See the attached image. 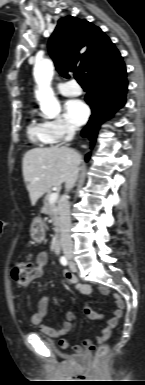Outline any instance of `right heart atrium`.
<instances>
[{"label": "right heart atrium", "mask_w": 145, "mask_h": 385, "mask_svg": "<svg viewBox=\"0 0 145 385\" xmlns=\"http://www.w3.org/2000/svg\"><path fill=\"white\" fill-rule=\"evenodd\" d=\"M45 125L50 136L51 144L60 142L67 135L75 131V127L61 117L47 121Z\"/></svg>", "instance_id": "obj_1"}]
</instances>
